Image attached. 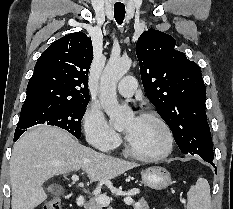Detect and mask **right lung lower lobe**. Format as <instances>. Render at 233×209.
I'll return each mask as SVG.
<instances>
[{"label": "right lung lower lobe", "instance_id": "right-lung-lower-lobe-1", "mask_svg": "<svg viewBox=\"0 0 233 209\" xmlns=\"http://www.w3.org/2000/svg\"><path fill=\"white\" fill-rule=\"evenodd\" d=\"M22 134H14V141H16Z\"/></svg>", "mask_w": 233, "mask_h": 209}]
</instances>
